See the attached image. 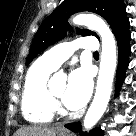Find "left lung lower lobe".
<instances>
[{
  "mask_svg": "<svg viewBox=\"0 0 136 136\" xmlns=\"http://www.w3.org/2000/svg\"><path fill=\"white\" fill-rule=\"evenodd\" d=\"M129 26H130L129 20L126 17L118 26V28L113 32L118 44V68H117V75H116V94L119 92V89L124 81L125 71L129 63L128 57L131 52V48L129 44L131 39ZM65 127L70 129L71 131L79 132L83 136L87 135V133L81 132L80 122L66 124ZM88 136H103V133L100 128H97V129L91 130Z\"/></svg>",
  "mask_w": 136,
  "mask_h": 136,
  "instance_id": "left-lung-lower-lobe-1",
  "label": "left lung lower lobe"
}]
</instances>
